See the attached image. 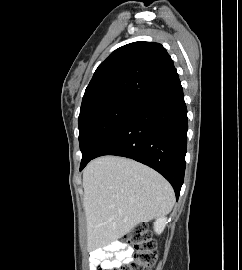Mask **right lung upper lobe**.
Wrapping results in <instances>:
<instances>
[{"label": "right lung upper lobe", "instance_id": "obj_1", "mask_svg": "<svg viewBox=\"0 0 242 270\" xmlns=\"http://www.w3.org/2000/svg\"><path fill=\"white\" fill-rule=\"evenodd\" d=\"M177 78L173 61L161 44L140 41L124 45L96 69L80 113L118 100L137 103Z\"/></svg>", "mask_w": 242, "mask_h": 270}]
</instances>
